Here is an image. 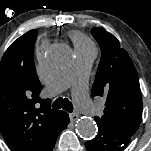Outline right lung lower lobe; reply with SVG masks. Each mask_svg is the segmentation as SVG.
<instances>
[{"mask_svg": "<svg viewBox=\"0 0 151 151\" xmlns=\"http://www.w3.org/2000/svg\"><path fill=\"white\" fill-rule=\"evenodd\" d=\"M68 123H69V115L66 113L60 121L61 131L64 130L67 127Z\"/></svg>", "mask_w": 151, "mask_h": 151, "instance_id": "right-lung-lower-lobe-1", "label": "right lung lower lobe"}]
</instances>
